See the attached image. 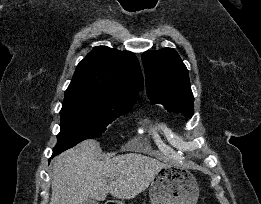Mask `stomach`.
<instances>
[{"label":"stomach","mask_w":261,"mask_h":204,"mask_svg":"<svg viewBox=\"0 0 261 204\" xmlns=\"http://www.w3.org/2000/svg\"><path fill=\"white\" fill-rule=\"evenodd\" d=\"M149 196L152 204H196L199 185L190 171L167 165L151 181Z\"/></svg>","instance_id":"0dacf381"}]
</instances>
